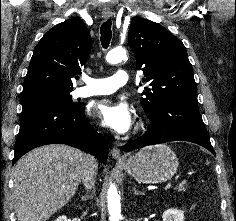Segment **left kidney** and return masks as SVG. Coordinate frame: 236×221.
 Masks as SVG:
<instances>
[{"label": "left kidney", "instance_id": "1", "mask_svg": "<svg viewBox=\"0 0 236 221\" xmlns=\"http://www.w3.org/2000/svg\"><path fill=\"white\" fill-rule=\"evenodd\" d=\"M163 221H184V212L177 209H168L163 213Z\"/></svg>", "mask_w": 236, "mask_h": 221}]
</instances>
